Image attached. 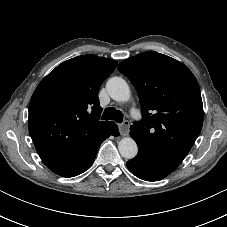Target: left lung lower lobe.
Returning a JSON list of instances; mask_svg holds the SVG:
<instances>
[{
  "label": "left lung lower lobe",
  "mask_w": 227,
  "mask_h": 227,
  "mask_svg": "<svg viewBox=\"0 0 227 227\" xmlns=\"http://www.w3.org/2000/svg\"><path fill=\"white\" fill-rule=\"evenodd\" d=\"M179 164L159 159L144 150L127 162L128 169L138 178L146 181H158L172 173Z\"/></svg>",
  "instance_id": "0a47b994"
}]
</instances>
